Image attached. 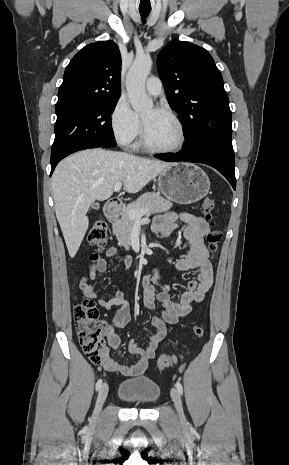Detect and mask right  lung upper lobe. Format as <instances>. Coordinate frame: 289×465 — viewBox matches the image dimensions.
Segmentation results:
<instances>
[{
	"mask_svg": "<svg viewBox=\"0 0 289 465\" xmlns=\"http://www.w3.org/2000/svg\"><path fill=\"white\" fill-rule=\"evenodd\" d=\"M121 55L112 41L82 48L66 67L56 107L119 99Z\"/></svg>",
	"mask_w": 289,
	"mask_h": 465,
	"instance_id": "1",
	"label": "right lung upper lobe"
}]
</instances>
